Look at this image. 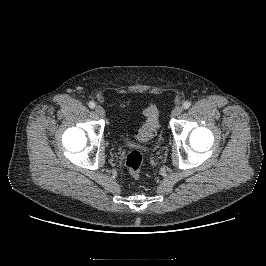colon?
<instances>
[{
	"label": "colon",
	"instance_id": "1",
	"mask_svg": "<svg viewBox=\"0 0 266 266\" xmlns=\"http://www.w3.org/2000/svg\"><path fill=\"white\" fill-rule=\"evenodd\" d=\"M146 117L145 124L136 134V139L140 142H146L152 139L158 131L159 123V109L156 105H149L144 109ZM143 157L138 150H133L128 153L126 157V168L131 177L138 181L141 178V166Z\"/></svg>",
	"mask_w": 266,
	"mask_h": 266
}]
</instances>
